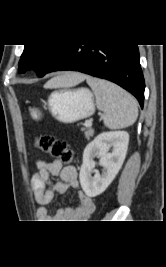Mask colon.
Here are the masks:
<instances>
[{"mask_svg":"<svg viewBox=\"0 0 166 267\" xmlns=\"http://www.w3.org/2000/svg\"><path fill=\"white\" fill-rule=\"evenodd\" d=\"M35 146L53 157L61 159L65 164L73 161V151L69 149L65 142L57 140L51 135H40L35 139Z\"/></svg>","mask_w":166,"mask_h":267,"instance_id":"colon-1","label":"colon"}]
</instances>
